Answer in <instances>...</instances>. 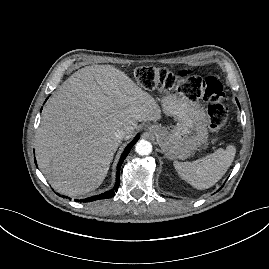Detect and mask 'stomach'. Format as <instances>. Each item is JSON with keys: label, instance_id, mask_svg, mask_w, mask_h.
I'll return each mask as SVG.
<instances>
[{"label": "stomach", "instance_id": "0dacf381", "mask_svg": "<svg viewBox=\"0 0 269 269\" xmlns=\"http://www.w3.org/2000/svg\"><path fill=\"white\" fill-rule=\"evenodd\" d=\"M162 108L166 115L176 119L177 125L171 131L160 125H151L149 131L167 158L187 159L207 142L205 111L199 103L172 94L162 99Z\"/></svg>", "mask_w": 269, "mask_h": 269}]
</instances>
